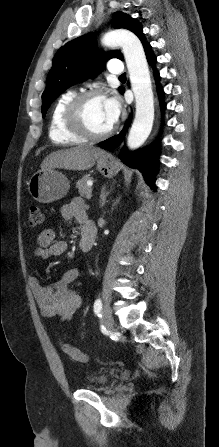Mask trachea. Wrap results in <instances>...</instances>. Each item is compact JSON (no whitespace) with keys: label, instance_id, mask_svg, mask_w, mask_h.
<instances>
[{"label":"trachea","instance_id":"trachea-1","mask_svg":"<svg viewBox=\"0 0 219 447\" xmlns=\"http://www.w3.org/2000/svg\"><path fill=\"white\" fill-rule=\"evenodd\" d=\"M119 78H126V74L123 73L122 75L119 76Z\"/></svg>","mask_w":219,"mask_h":447}]
</instances>
